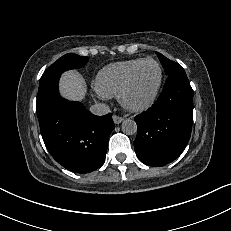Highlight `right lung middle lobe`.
Returning a JSON list of instances; mask_svg holds the SVG:
<instances>
[{"mask_svg":"<svg viewBox=\"0 0 231 231\" xmlns=\"http://www.w3.org/2000/svg\"><path fill=\"white\" fill-rule=\"evenodd\" d=\"M88 59V57L68 53L59 58L45 71L40 79V83L55 75H61L66 70L82 67L88 62Z\"/></svg>","mask_w":231,"mask_h":231,"instance_id":"right-lung-middle-lobe-1","label":"right lung middle lobe"}]
</instances>
